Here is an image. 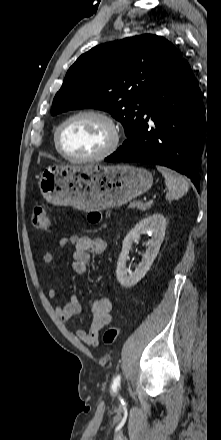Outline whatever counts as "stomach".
<instances>
[{"label":"stomach","mask_w":221,"mask_h":440,"mask_svg":"<svg viewBox=\"0 0 221 440\" xmlns=\"http://www.w3.org/2000/svg\"><path fill=\"white\" fill-rule=\"evenodd\" d=\"M152 184L148 170L128 164L56 165L44 170L38 183L47 202L86 212L122 206Z\"/></svg>","instance_id":"1"}]
</instances>
